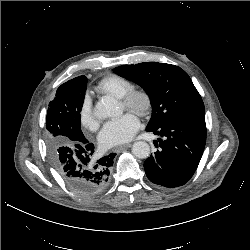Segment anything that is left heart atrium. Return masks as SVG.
<instances>
[{"label":"left heart atrium","mask_w":250,"mask_h":250,"mask_svg":"<svg viewBox=\"0 0 250 250\" xmlns=\"http://www.w3.org/2000/svg\"><path fill=\"white\" fill-rule=\"evenodd\" d=\"M139 127L138 117L132 112H127L104 125L98 137L99 143L103 148L126 143L133 138Z\"/></svg>","instance_id":"left-heart-atrium-1"}]
</instances>
